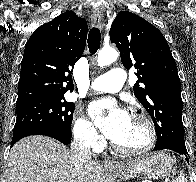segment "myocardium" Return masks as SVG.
Wrapping results in <instances>:
<instances>
[{"mask_svg":"<svg viewBox=\"0 0 196 182\" xmlns=\"http://www.w3.org/2000/svg\"><path fill=\"white\" fill-rule=\"evenodd\" d=\"M133 118L140 120L147 129L148 139L144 146L138 149H128L119 146L115 141L112 143L113 148L118 152L126 156H140L150 151L155 145L157 139V132L153 122L144 114L134 113Z\"/></svg>","mask_w":196,"mask_h":182,"instance_id":"f54148a6","label":"myocardium"}]
</instances>
